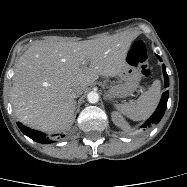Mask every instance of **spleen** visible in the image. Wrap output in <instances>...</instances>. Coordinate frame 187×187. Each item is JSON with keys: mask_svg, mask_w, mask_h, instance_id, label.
<instances>
[{"mask_svg": "<svg viewBox=\"0 0 187 187\" xmlns=\"http://www.w3.org/2000/svg\"><path fill=\"white\" fill-rule=\"evenodd\" d=\"M161 97V84L155 80L152 86L137 100L117 104L116 109L124 116L140 121L148 118L156 109Z\"/></svg>", "mask_w": 187, "mask_h": 187, "instance_id": "obj_1", "label": "spleen"}]
</instances>
